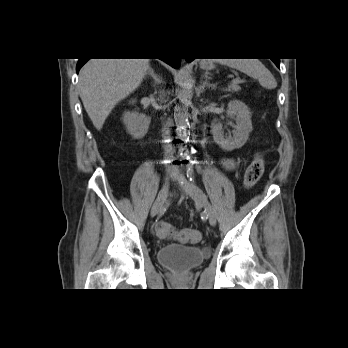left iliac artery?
I'll use <instances>...</instances> for the list:
<instances>
[{
	"label": "left iliac artery",
	"mask_w": 348,
	"mask_h": 348,
	"mask_svg": "<svg viewBox=\"0 0 348 348\" xmlns=\"http://www.w3.org/2000/svg\"><path fill=\"white\" fill-rule=\"evenodd\" d=\"M188 178H189V181L194 184L195 183V177H194V173L192 170H189L188 171V174H187Z\"/></svg>",
	"instance_id": "obj_1"
}]
</instances>
